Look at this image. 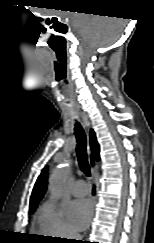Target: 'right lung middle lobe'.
<instances>
[{
  "label": "right lung middle lobe",
  "mask_w": 154,
  "mask_h": 243,
  "mask_svg": "<svg viewBox=\"0 0 154 243\" xmlns=\"http://www.w3.org/2000/svg\"><path fill=\"white\" fill-rule=\"evenodd\" d=\"M36 207H37V206H35V207H30V211L33 213V212L35 211Z\"/></svg>",
  "instance_id": "dd1d6c3e"
}]
</instances>
